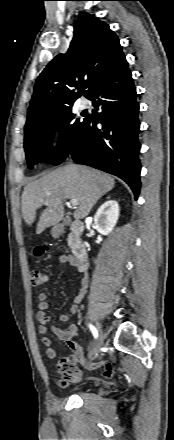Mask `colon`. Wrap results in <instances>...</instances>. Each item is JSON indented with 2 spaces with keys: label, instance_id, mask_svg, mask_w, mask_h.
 <instances>
[{
  "label": "colon",
  "instance_id": "obj_1",
  "mask_svg": "<svg viewBox=\"0 0 174 440\" xmlns=\"http://www.w3.org/2000/svg\"><path fill=\"white\" fill-rule=\"evenodd\" d=\"M49 250L47 245L40 246L35 250L36 256H42ZM30 281L32 286L39 287L46 282V274L40 269H33L30 275Z\"/></svg>",
  "mask_w": 174,
  "mask_h": 440
}]
</instances>
